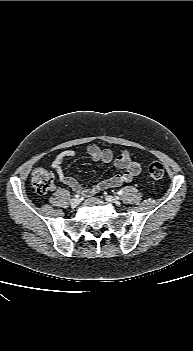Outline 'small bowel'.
Listing matches in <instances>:
<instances>
[{
    "mask_svg": "<svg viewBox=\"0 0 193 351\" xmlns=\"http://www.w3.org/2000/svg\"><path fill=\"white\" fill-rule=\"evenodd\" d=\"M86 153L92 161L103 164L112 163L114 167L121 170V172L109 178L103 179L91 187H85L73 177L67 176L61 168V164L65 160L73 158L78 153L72 149L60 152L54 158L51 164L58 182L68 186L73 191L83 196H91L99 191L115 188L124 183L130 182L141 171L140 164L132 160L128 151H123L118 156H115L112 150L107 148L103 149L95 144H92L87 147Z\"/></svg>",
    "mask_w": 193,
    "mask_h": 351,
    "instance_id": "small-bowel-1",
    "label": "small bowel"
}]
</instances>
